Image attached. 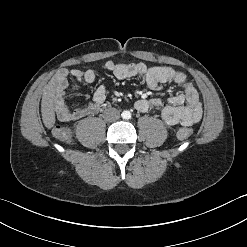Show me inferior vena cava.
Segmentation results:
<instances>
[{"mask_svg": "<svg viewBox=\"0 0 247 247\" xmlns=\"http://www.w3.org/2000/svg\"><path fill=\"white\" fill-rule=\"evenodd\" d=\"M103 117L108 121H115L120 118V112L115 108H109L104 112Z\"/></svg>", "mask_w": 247, "mask_h": 247, "instance_id": "602c4592", "label": "inferior vena cava"}]
</instances>
